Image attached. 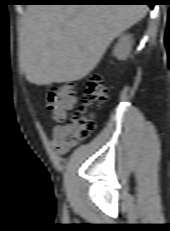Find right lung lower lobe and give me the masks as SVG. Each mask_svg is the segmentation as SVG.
I'll return each instance as SVG.
<instances>
[{"label": "right lung lower lobe", "instance_id": "98d812e1", "mask_svg": "<svg viewBox=\"0 0 170 231\" xmlns=\"http://www.w3.org/2000/svg\"><path fill=\"white\" fill-rule=\"evenodd\" d=\"M33 3H60V4H131L144 3L154 7L153 0H28Z\"/></svg>", "mask_w": 170, "mask_h": 231}]
</instances>
